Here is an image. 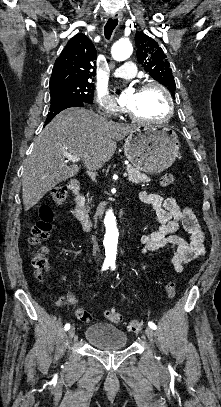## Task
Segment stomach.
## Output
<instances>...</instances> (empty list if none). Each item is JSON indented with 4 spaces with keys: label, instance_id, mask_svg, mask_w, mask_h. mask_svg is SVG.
<instances>
[{
    "label": "stomach",
    "instance_id": "stomach-1",
    "mask_svg": "<svg viewBox=\"0 0 221 407\" xmlns=\"http://www.w3.org/2000/svg\"><path fill=\"white\" fill-rule=\"evenodd\" d=\"M179 151L178 136L171 127H136L126 138L124 152L130 163L149 174L168 169Z\"/></svg>",
    "mask_w": 221,
    "mask_h": 407
}]
</instances>
